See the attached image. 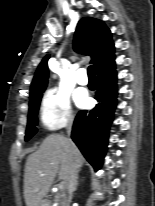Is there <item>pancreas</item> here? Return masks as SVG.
<instances>
[{
  "instance_id": "1",
  "label": "pancreas",
  "mask_w": 155,
  "mask_h": 206,
  "mask_svg": "<svg viewBox=\"0 0 155 206\" xmlns=\"http://www.w3.org/2000/svg\"><path fill=\"white\" fill-rule=\"evenodd\" d=\"M55 205L53 206H65V200L61 195H57L54 199Z\"/></svg>"
}]
</instances>
